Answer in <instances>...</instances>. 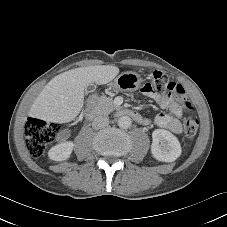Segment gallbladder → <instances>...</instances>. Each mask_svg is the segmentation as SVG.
I'll return each mask as SVG.
<instances>
[{
    "instance_id": "gallbladder-1",
    "label": "gallbladder",
    "mask_w": 227,
    "mask_h": 227,
    "mask_svg": "<svg viewBox=\"0 0 227 227\" xmlns=\"http://www.w3.org/2000/svg\"><path fill=\"white\" fill-rule=\"evenodd\" d=\"M96 90V85L95 84H89L86 88L85 91L86 93H92Z\"/></svg>"
}]
</instances>
